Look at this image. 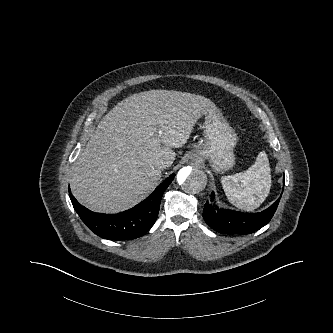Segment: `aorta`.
<instances>
[{"label": "aorta", "mask_w": 333, "mask_h": 333, "mask_svg": "<svg viewBox=\"0 0 333 333\" xmlns=\"http://www.w3.org/2000/svg\"><path fill=\"white\" fill-rule=\"evenodd\" d=\"M176 181L184 192L193 194L205 188L207 177L204 171L198 168L184 167L178 172Z\"/></svg>", "instance_id": "1"}]
</instances>
